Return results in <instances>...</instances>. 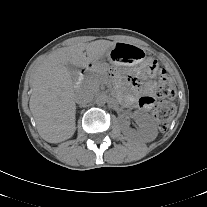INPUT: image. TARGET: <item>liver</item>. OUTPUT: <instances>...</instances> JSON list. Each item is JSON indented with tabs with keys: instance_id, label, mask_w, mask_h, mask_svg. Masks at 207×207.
I'll use <instances>...</instances> for the list:
<instances>
[{
	"instance_id": "6515ba94",
	"label": "liver",
	"mask_w": 207,
	"mask_h": 207,
	"mask_svg": "<svg viewBox=\"0 0 207 207\" xmlns=\"http://www.w3.org/2000/svg\"><path fill=\"white\" fill-rule=\"evenodd\" d=\"M115 44L96 40L60 48L46 57L31 76L30 111L40 136L49 143L71 138L76 130V87L66 65L87 68ZM86 51V52H84Z\"/></svg>"
}]
</instances>
